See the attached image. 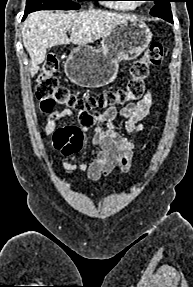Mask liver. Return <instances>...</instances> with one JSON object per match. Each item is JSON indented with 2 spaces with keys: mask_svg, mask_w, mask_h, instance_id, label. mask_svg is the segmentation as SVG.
Listing matches in <instances>:
<instances>
[{
  "mask_svg": "<svg viewBox=\"0 0 193 287\" xmlns=\"http://www.w3.org/2000/svg\"><path fill=\"white\" fill-rule=\"evenodd\" d=\"M129 20L136 19L130 15L100 10L31 13L22 25L23 44L31 59V76L39 71V65L45 60L47 48L70 43H93ZM68 31L72 32L70 38L66 34Z\"/></svg>",
  "mask_w": 193,
  "mask_h": 287,
  "instance_id": "obj_1",
  "label": "liver"
}]
</instances>
